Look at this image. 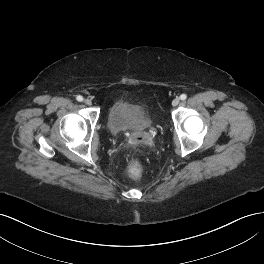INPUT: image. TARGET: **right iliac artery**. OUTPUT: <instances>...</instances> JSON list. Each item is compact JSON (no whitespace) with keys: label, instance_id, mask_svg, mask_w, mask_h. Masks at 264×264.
Instances as JSON below:
<instances>
[{"label":"right iliac artery","instance_id":"82829eb1","mask_svg":"<svg viewBox=\"0 0 264 264\" xmlns=\"http://www.w3.org/2000/svg\"><path fill=\"white\" fill-rule=\"evenodd\" d=\"M76 99H77V101H79V102L83 101V97H82L81 95H78V96L76 97Z\"/></svg>","mask_w":264,"mask_h":264}]
</instances>
